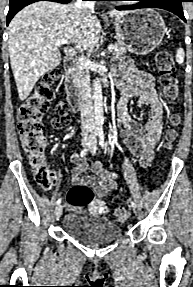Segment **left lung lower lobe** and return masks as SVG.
Instances as JSON below:
<instances>
[{"instance_id":"left-lung-lower-lobe-1","label":"left lung lower lobe","mask_w":193,"mask_h":287,"mask_svg":"<svg viewBox=\"0 0 193 287\" xmlns=\"http://www.w3.org/2000/svg\"><path fill=\"white\" fill-rule=\"evenodd\" d=\"M139 3L128 6V7H117V10H133L139 8H161L168 10L177 16H179L183 21L186 19L183 14L182 2L187 0H137Z\"/></svg>"}]
</instances>
